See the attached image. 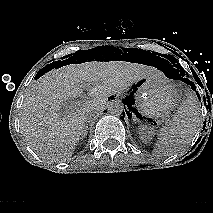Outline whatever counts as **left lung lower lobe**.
<instances>
[{"label":"left lung lower lobe","instance_id":"0a47b994","mask_svg":"<svg viewBox=\"0 0 213 213\" xmlns=\"http://www.w3.org/2000/svg\"><path fill=\"white\" fill-rule=\"evenodd\" d=\"M191 88L194 90V91H196V87H195V85H194V83L193 82H191ZM197 96H198V98L200 99V96H199V94L197 93ZM126 103V101L124 100V102H123V104H125ZM123 114V113H122Z\"/></svg>","mask_w":213,"mask_h":213}]
</instances>
